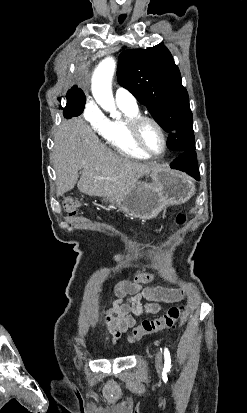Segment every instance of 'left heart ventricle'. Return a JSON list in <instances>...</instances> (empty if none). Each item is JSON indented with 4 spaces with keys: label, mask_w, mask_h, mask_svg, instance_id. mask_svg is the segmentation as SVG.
Returning a JSON list of instances; mask_svg holds the SVG:
<instances>
[{
    "label": "left heart ventricle",
    "mask_w": 247,
    "mask_h": 413,
    "mask_svg": "<svg viewBox=\"0 0 247 413\" xmlns=\"http://www.w3.org/2000/svg\"><path fill=\"white\" fill-rule=\"evenodd\" d=\"M140 139L142 144L152 152L160 153L164 147V141L158 129L145 123L140 129Z\"/></svg>",
    "instance_id": "left-heart-ventricle-1"
}]
</instances>
